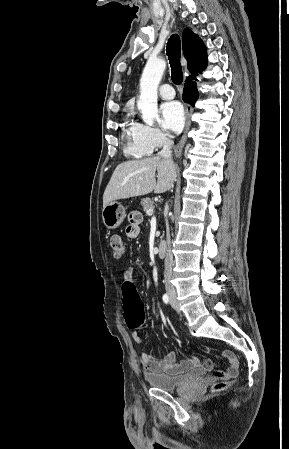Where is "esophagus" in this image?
<instances>
[{
    "mask_svg": "<svg viewBox=\"0 0 289 449\" xmlns=\"http://www.w3.org/2000/svg\"><path fill=\"white\" fill-rule=\"evenodd\" d=\"M192 114V108L190 105H186L185 107V117H186V125H185V130L184 133L180 139V141L178 142V144L176 145L175 149H174V153L176 156H179L183 150V147L185 145L186 139H187V132L190 128L191 125V121H190V117Z\"/></svg>",
    "mask_w": 289,
    "mask_h": 449,
    "instance_id": "34e87169",
    "label": "esophagus"
}]
</instances>
